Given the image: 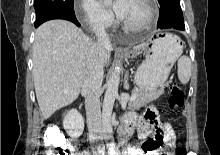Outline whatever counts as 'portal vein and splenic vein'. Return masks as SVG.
I'll list each match as a JSON object with an SVG mask.
<instances>
[{
    "label": "portal vein and splenic vein",
    "mask_w": 220,
    "mask_h": 155,
    "mask_svg": "<svg viewBox=\"0 0 220 155\" xmlns=\"http://www.w3.org/2000/svg\"><path fill=\"white\" fill-rule=\"evenodd\" d=\"M136 97H137V93L133 92L132 95H131V99H130V101L135 100Z\"/></svg>",
    "instance_id": "18ae733b"
}]
</instances>
